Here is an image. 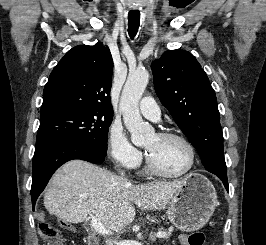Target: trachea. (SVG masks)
Returning a JSON list of instances; mask_svg holds the SVG:
<instances>
[{
  "instance_id": "trachea-1",
  "label": "trachea",
  "mask_w": 266,
  "mask_h": 245,
  "mask_svg": "<svg viewBox=\"0 0 266 245\" xmlns=\"http://www.w3.org/2000/svg\"><path fill=\"white\" fill-rule=\"evenodd\" d=\"M139 22H140V13L136 12L128 13V33L131 38H134V36L137 34L139 28Z\"/></svg>"
}]
</instances>
